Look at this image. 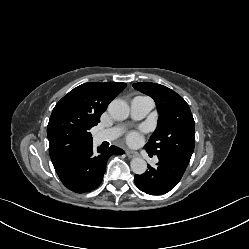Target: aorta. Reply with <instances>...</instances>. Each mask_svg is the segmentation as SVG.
<instances>
[{
  "mask_svg": "<svg viewBox=\"0 0 249 249\" xmlns=\"http://www.w3.org/2000/svg\"><path fill=\"white\" fill-rule=\"evenodd\" d=\"M108 112L115 120H125L129 116L128 104L120 99H115L108 105ZM131 170L138 175L144 174L147 169V163L143 158H133L130 163Z\"/></svg>",
  "mask_w": 249,
  "mask_h": 249,
  "instance_id": "aorta-1",
  "label": "aorta"
}]
</instances>
